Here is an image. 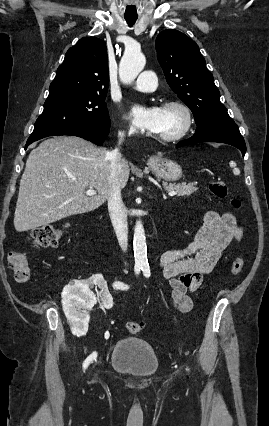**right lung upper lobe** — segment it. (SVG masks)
Masks as SVG:
<instances>
[{
  "label": "right lung upper lobe",
  "instance_id": "1",
  "mask_svg": "<svg viewBox=\"0 0 269 426\" xmlns=\"http://www.w3.org/2000/svg\"><path fill=\"white\" fill-rule=\"evenodd\" d=\"M108 58L106 44L95 37L81 38L65 55L58 67L49 93L81 91L107 93Z\"/></svg>",
  "mask_w": 269,
  "mask_h": 426
}]
</instances>
